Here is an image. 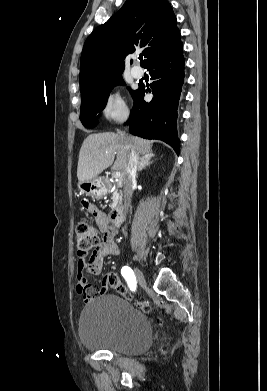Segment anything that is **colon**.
I'll list each match as a JSON object with an SVG mask.
<instances>
[{
	"instance_id": "obj_1",
	"label": "colon",
	"mask_w": 267,
	"mask_h": 391,
	"mask_svg": "<svg viewBox=\"0 0 267 391\" xmlns=\"http://www.w3.org/2000/svg\"><path fill=\"white\" fill-rule=\"evenodd\" d=\"M75 238L77 254L81 259H85L88 255L95 252L101 244L98 231L86 219H82L78 223L75 230ZM109 285L124 298L128 300L135 299L134 295L128 291L127 287L114 273H111L109 276ZM137 303L144 310H149L148 306L144 305L142 302L138 301Z\"/></svg>"
}]
</instances>
